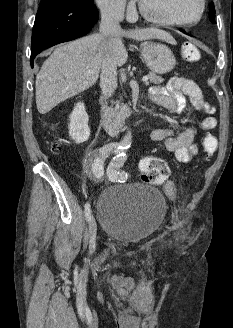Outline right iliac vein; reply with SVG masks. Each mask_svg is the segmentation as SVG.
Returning <instances> with one entry per match:
<instances>
[{"instance_id":"right-iliac-vein-1","label":"right iliac vein","mask_w":233,"mask_h":328,"mask_svg":"<svg viewBox=\"0 0 233 328\" xmlns=\"http://www.w3.org/2000/svg\"><path fill=\"white\" fill-rule=\"evenodd\" d=\"M96 234H97V224L93 217L89 220V249L90 253H93L95 250L96 244Z\"/></svg>"}]
</instances>
